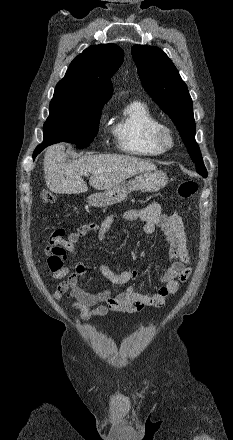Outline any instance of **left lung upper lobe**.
<instances>
[{
	"label": "left lung upper lobe",
	"mask_w": 233,
	"mask_h": 440,
	"mask_svg": "<svg viewBox=\"0 0 233 440\" xmlns=\"http://www.w3.org/2000/svg\"><path fill=\"white\" fill-rule=\"evenodd\" d=\"M132 57L143 87L178 128L196 170L205 168L195 141L192 99L175 65L161 49L153 46L134 45Z\"/></svg>",
	"instance_id": "5c2ea615"
}]
</instances>
